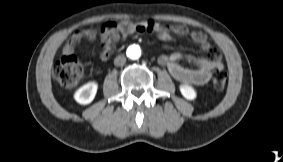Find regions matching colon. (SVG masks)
I'll list each match as a JSON object with an SVG mask.
<instances>
[{"instance_id": "5ec220e1", "label": "colon", "mask_w": 283, "mask_h": 162, "mask_svg": "<svg viewBox=\"0 0 283 162\" xmlns=\"http://www.w3.org/2000/svg\"><path fill=\"white\" fill-rule=\"evenodd\" d=\"M53 74L63 87L72 88L78 83L82 75V65L76 56L64 55L56 62ZM226 80V70L217 68L213 73V88L216 91H222L226 85Z\"/></svg>"}]
</instances>
